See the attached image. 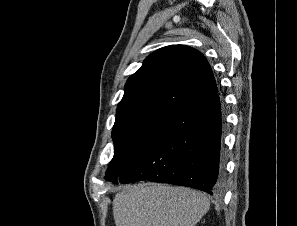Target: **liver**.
<instances>
[{
    "label": "liver",
    "instance_id": "obj_1",
    "mask_svg": "<svg viewBox=\"0 0 297 226\" xmlns=\"http://www.w3.org/2000/svg\"><path fill=\"white\" fill-rule=\"evenodd\" d=\"M209 207L199 191L140 183L116 194L113 215L116 226H195Z\"/></svg>",
    "mask_w": 297,
    "mask_h": 226
}]
</instances>
